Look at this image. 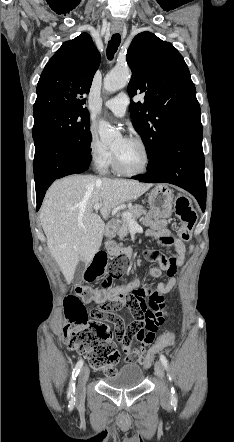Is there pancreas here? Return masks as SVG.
<instances>
[{"instance_id": "1", "label": "pancreas", "mask_w": 234, "mask_h": 442, "mask_svg": "<svg viewBox=\"0 0 234 442\" xmlns=\"http://www.w3.org/2000/svg\"><path fill=\"white\" fill-rule=\"evenodd\" d=\"M126 212L131 214V218L134 221L137 218H139L141 215L147 214V210H145L144 207L139 204L130 206ZM116 225L118 226V236L122 240L129 233L130 223L128 222V220L122 219V220H117ZM105 245L110 254H115L116 248L114 246L116 245V243L114 241L109 240L105 243Z\"/></svg>"}]
</instances>
